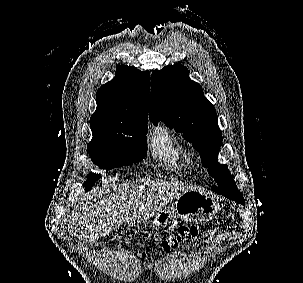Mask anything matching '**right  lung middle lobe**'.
<instances>
[{
  "instance_id": "right-lung-middle-lobe-1",
  "label": "right lung middle lobe",
  "mask_w": 303,
  "mask_h": 283,
  "mask_svg": "<svg viewBox=\"0 0 303 283\" xmlns=\"http://www.w3.org/2000/svg\"><path fill=\"white\" fill-rule=\"evenodd\" d=\"M147 132V123L92 131L93 138L87 146L92 162L108 171L141 161L147 153ZM100 177L101 174H89L85 189L89 190Z\"/></svg>"
}]
</instances>
